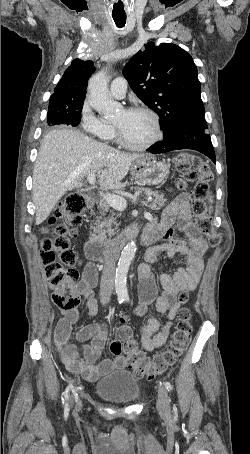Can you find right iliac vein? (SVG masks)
Listing matches in <instances>:
<instances>
[{
	"label": "right iliac vein",
	"mask_w": 250,
	"mask_h": 454,
	"mask_svg": "<svg viewBox=\"0 0 250 454\" xmlns=\"http://www.w3.org/2000/svg\"><path fill=\"white\" fill-rule=\"evenodd\" d=\"M73 401H74V397L72 396L70 399H69V403L72 405L73 404ZM82 406V403L80 400H78L77 402V405H76V409L79 410Z\"/></svg>",
	"instance_id": "63e3f726"
}]
</instances>
